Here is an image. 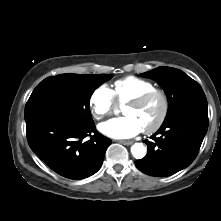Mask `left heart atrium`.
<instances>
[{
  "instance_id": "left-heart-atrium-1",
  "label": "left heart atrium",
  "mask_w": 221,
  "mask_h": 221,
  "mask_svg": "<svg viewBox=\"0 0 221 221\" xmlns=\"http://www.w3.org/2000/svg\"><path fill=\"white\" fill-rule=\"evenodd\" d=\"M143 130L139 121L132 116L107 120L99 125V131L115 139H127L136 136Z\"/></svg>"
}]
</instances>
